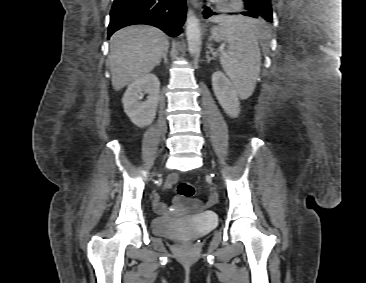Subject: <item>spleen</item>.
I'll return each mask as SVG.
<instances>
[{
    "instance_id": "spleen-1",
    "label": "spleen",
    "mask_w": 366,
    "mask_h": 283,
    "mask_svg": "<svg viewBox=\"0 0 366 283\" xmlns=\"http://www.w3.org/2000/svg\"><path fill=\"white\" fill-rule=\"evenodd\" d=\"M214 22L225 30L229 44L228 50L221 52V66L240 98L247 99L254 92L260 73L258 42L264 37V26L254 19L233 16H217Z\"/></svg>"
}]
</instances>
